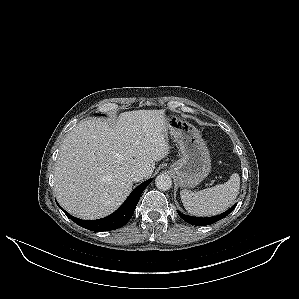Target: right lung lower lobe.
Here are the masks:
<instances>
[{"label":"right lung lower lobe","instance_id":"obj_1","mask_svg":"<svg viewBox=\"0 0 299 299\" xmlns=\"http://www.w3.org/2000/svg\"><path fill=\"white\" fill-rule=\"evenodd\" d=\"M151 181L152 179H149L140 184L135 190L132 191V193L118 210L102 219L81 220L71 216L64 209L61 207L60 208L72 221L88 230L102 232L118 229L124 226L131 219L142 192L151 183Z\"/></svg>","mask_w":299,"mask_h":299}]
</instances>
